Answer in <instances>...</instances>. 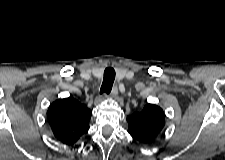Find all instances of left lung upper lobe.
I'll return each mask as SVG.
<instances>
[{
	"mask_svg": "<svg viewBox=\"0 0 225 160\" xmlns=\"http://www.w3.org/2000/svg\"><path fill=\"white\" fill-rule=\"evenodd\" d=\"M127 121L129 134L144 144L152 143L165 124L163 110L153 104H147L141 112L128 116Z\"/></svg>",
	"mask_w": 225,
	"mask_h": 160,
	"instance_id": "left-lung-upper-lobe-1",
	"label": "left lung upper lobe"
}]
</instances>
